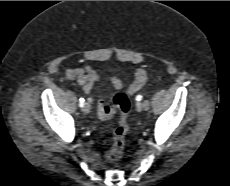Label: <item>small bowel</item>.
<instances>
[{
  "label": "small bowel",
  "instance_id": "c3829d8e",
  "mask_svg": "<svg viewBox=\"0 0 230 186\" xmlns=\"http://www.w3.org/2000/svg\"><path fill=\"white\" fill-rule=\"evenodd\" d=\"M65 76L68 80H75L86 94L91 93L93 85L99 80L98 72L89 65L83 68H67L65 70ZM113 86L116 89H123L122 81L118 78L117 83H113Z\"/></svg>",
  "mask_w": 230,
  "mask_h": 186
}]
</instances>
